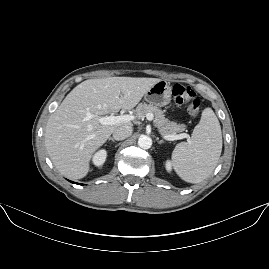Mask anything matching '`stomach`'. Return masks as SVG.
<instances>
[{"label":"stomach","instance_id":"0dacf381","mask_svg":"<svg viewBox=\"0 0 269 269\" xmlns=\"http://www.w3.org/2000/svg\"><path fill=\"white\" fill-rule=\"evenodd\" d=\"M145 101L155 106H165L171 101V87L165 80L156 82L144 95Z\"/></svg>","mask_w":269,"mask_h":269}]
</instances>
